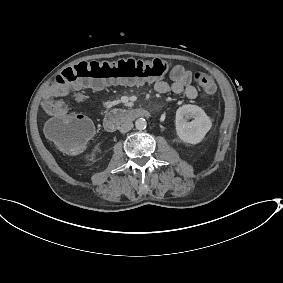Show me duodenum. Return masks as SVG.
Masks as SVG:
<instances>
[{
	"instance_id": "1",
	"label": "duodenum",
	"mask_w": 283,
	"mask_h": 283,
	"mask_svg": "<svg viewBox=\"0 0 283 283\" xmlns=\"http://www.w3.org/2000/svg\"><path fill=\"white\" fill-rule=\"evenodd\" d=\"M148 116V111L141 107L123 110L116 109L105 116L103 125L106 131L114 132L122 123Z\"/></svg>"
}]
</instances>
